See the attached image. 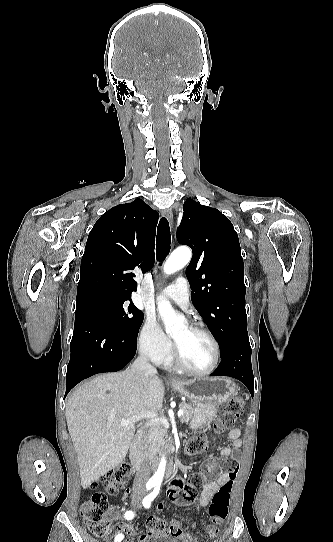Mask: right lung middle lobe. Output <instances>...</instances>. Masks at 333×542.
I'll return each instance as SVG.
<instances>
[{
  "instance_id": "right-lung-middle-lobe-1",
  "label": "right lung middle lobe",
  "mask_w": 333,
  "mask_h": 542,
  "mask_svg": "<svg viewBox=\"0 0 333 542\" xmlns=\"http://www.w3.org/2000/svg\"><path fill=\"white\" fill-rule=\"evenodd\" d=\"M76 308H91L102 314L118 331L131 340L137 339L144 315L132 302L116 300L104 294H93L76 304Z\"/></svg>"
}]
</instances>
